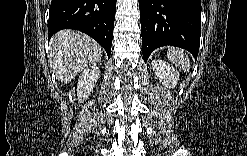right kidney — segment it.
I'll return each mask as SVG.
<instances>
[{
  "instance_id": "obj_1",
  "label": "right kidney",
  "mask_w": 247,
  "mask_h": 156,
  "mask_svg": "<svg viewBox=\"0 0 247 156\" xmlns=\"http://www.w3.org/2000/svg\"><path fill=\"white\" fill-rule=\"evenodd\" d=\"M99 67L92 66L88 69H85L79 76L77 84V96L79 102H83L82 98H87L88 95L93 91L95 83L99 78Z\"/></svg>"
}]
</instances>
